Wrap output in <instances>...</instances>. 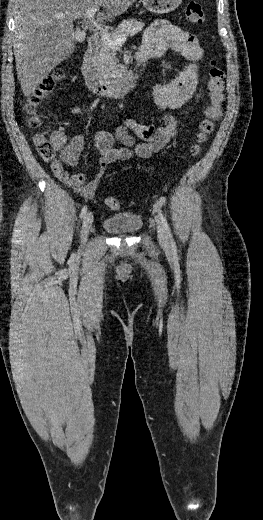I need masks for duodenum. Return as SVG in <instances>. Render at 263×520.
Wrapping results in <instances>:
<instances>
[{
    "label": "duodenum",
    "instance_id": "410a0bca",
    "mask_svg": "<svg viewBox=\"0 0 263 520\" xmlns=\"http://www.w3.org/2000/svg\"><path fill=\"white\" fill-rule=\"evenodd\" d=\"M99 50L98 37L93 35L89 38L87 48L82 59V74L87 87L96 95L120 97L132 91L139 83L142 66L149 56L141 51L135 55V62L138 68L132 69L124 74L121 78L110 80L104 78L95 64V57Z\"/></svg>",
    "mask_w": 263,
    "mask_h": 520
}]
</instances>
